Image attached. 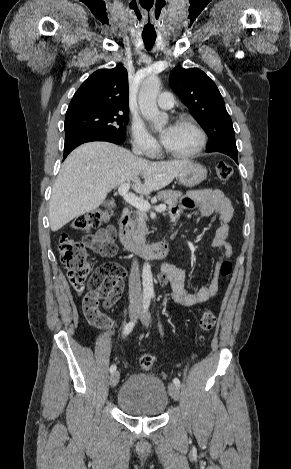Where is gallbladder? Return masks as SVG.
Segmentation results:
<instances>
[{
    "mask_svg": "<svg viewBox=\"0 0 291 469\" xmlns=\"http://www.w3.org/2000/svg\"><path fill=\"white\" fill-rule=\"evenodd\" d=\"M104 206L107 207V208H114L115 203H114V201H106V202H104Z\"/></svg>",
    "mask_w": 291,
    "mask_h": 469,
    "instance_id": "1",
    "label": "gallbladder"
}]
</instances>
